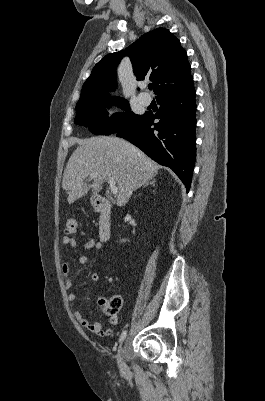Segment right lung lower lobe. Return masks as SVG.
Returning a JSON list of instances; mask_svg holds the SVG:
<instances>
[{
    "label": "right lung lower lobe",
    "mask_w": 265,
    "mask_h": 401,
    "mask_svg": "<svg viewBox=\"0 0 265 401\" xmlns=\"http://www.w3.org/2000/svg\"><path fill=\"white\" fill-rule=\"evenodd\" d=\"M156 99L160 105L157 113L146 112L140 121L116 135L171 168L188 191L196 158L193 81L183 89L161 93Z\"/></svg>",
    "instance_id": "obj_1"
}]
</instances>
